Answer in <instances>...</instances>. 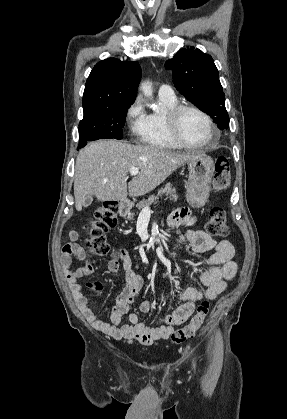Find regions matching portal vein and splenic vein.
Returning <instances> with one entry per match:
<instances>
[{
    "label": "portal vein and splenic vein",
    "instance_id": "18ae733b",
    "mask_svg": "<svg viewBox=\"0 0 287 419\" xmlns=\"http://www.w3.org/2000/svg\"><path fill=\"white\" fill-rule=\"evenodd\" d=\"M137 174H139V169L138 168H131L130 169V175L131 176H136ZM142 211L143 212H150L149 206L144 207Z\"/></svg>",
    "mask_w": 287,
    "mask_h": 419
}]
</instances>
